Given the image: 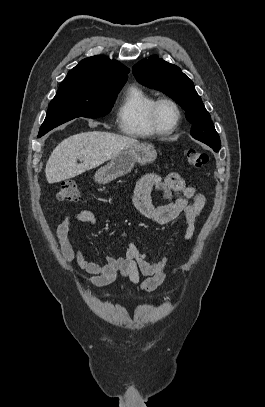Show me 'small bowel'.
<instances>
[{
	"instance_id": "c3829d8e",
	"label": "small bowel",
	"mask_w": 265,
	"mask_h": 407,
	"mask_svg": "<svg viewBox=\"0 0 265 407\" xmlns=\"http://www.w3.org/2000/svg\"><path fill=\"white\" fill-rule=\"evenodd\" d=\"M156 189L169 200L167 204L154 206L151 193ZM178 193L180 196L175 197ZM133 202L137 210L147 219L157 224H167L183 215L185 228L183 241H189L195 232L196 222L205 205L206 198L198 193L193 186L186 184L179 173H170L165 178L155 173H147L136 183ZM74 223H84L91 227L100 224L96 214L89 210H81L75 214H67L60 221L55 238L59 243L61 255L65 263L77 266L88 274V281L94 287L111 284L118 272L132 283L138 284L141 290L152 292L165 280L170 258L163 256L152 262L147 253L142 252L130 241L124 256L105 257L103 263L89 261L81 250L70 240L69 234ZM145 276L144 280L140 276Z\"/></svg>"
}]
</instances>
